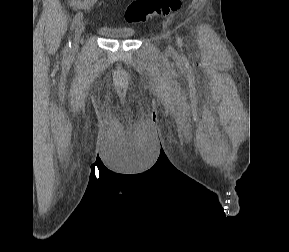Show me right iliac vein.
Masks as SVG:
<instances>
[{"label": "right iliac vein", "mask_w": 289, "mask_h": 252, "mask_svg": "<svg viewBox=\"0 0 289 252\" xmlns=\"http://www.w3.org/2000/svg\"><path fill=\"white\" fill-rule=\"evenodd\" d=\"M85 25L83 21H80L75 28V33H74V44H73V48L72 51L73 52H77L78 48H79V43L81 41V36L82 33L84 31Z\"/></svg>", "instance_id": "63e3f726"}]
</instances>
